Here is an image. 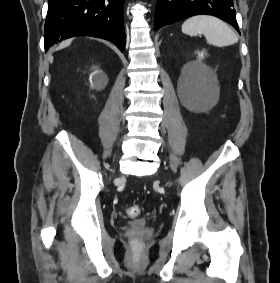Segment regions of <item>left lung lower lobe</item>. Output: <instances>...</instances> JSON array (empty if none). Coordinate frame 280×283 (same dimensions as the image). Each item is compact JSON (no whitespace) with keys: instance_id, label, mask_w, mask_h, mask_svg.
I'll return each instance as SVG.
<instances>
[{"instance_id":"obj_1","label":"left lung lower lobe","mask_w":280,"mask_h":283,"mask_svg":"<svg viewBox=\"0 0 280 283\" xmlns=\"http://www.w3.org/2000/svg\"><path fill=\"white\" fill-rule=\"evenodd\" d=\"M199 14L216 16L240 33L233 0H157L154 29Z\"/></svg>"}]
</instances>
